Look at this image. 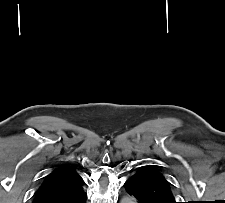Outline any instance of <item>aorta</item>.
Returning <instances> with one entry per match:
<instances>
[{
  "label": "aorta",
  "instance_id": "1",
  "mask_svg": "<svg viewBox=\"0 0 225 203\" xmlns=\"http://www.w3.org/2000/svg\"><path fill=\"white\" fill-rule=\"evenodd\" d=\"M121 203H135L133 198L131 197H125L121 200Z\"/></svg>",
  "mask_w": 225,
  "mask_h": 203
}]
</instances>
